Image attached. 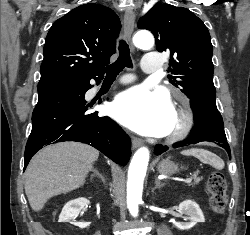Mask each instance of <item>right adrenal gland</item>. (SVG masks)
<instances>
[{
  "instance_id": "obj_1",
  "label": "right adrenal gland",
  "mask_w": 250,
  "mask_h": 235,
  "mask_svg": "<svg viewBox=\"0 0 250 235\" xmlns=\"http://www.w3.org/2000/svg\"><path fill=\"white\" fill-rule=\"evenodd\" d=\"M92 172H93V173H92L91 176H90L91 180H92L94 177H98V178L101 179V181H102L104 184H106V179H105V177H104L102 174L99 173V171L97 170V168H93V169H92Z\"/></svg>"
}]
</instances>
